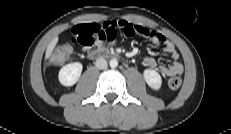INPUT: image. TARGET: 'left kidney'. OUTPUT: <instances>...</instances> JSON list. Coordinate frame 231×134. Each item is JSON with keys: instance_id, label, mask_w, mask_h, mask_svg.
Instances as JSON below:
<instances>
[{"instance_id": "obj_1", "label": "left kidney", "mask_w": 231, "mask_h": 134, "mask_svg": "<svg viewBox=\"0 0 231 134\" xmlns=\"http://www.w3.org/2000/svg\"><path fill=\"white\" fill-rule=\"evenodd\" d=\"M143 76L148 86L153 90H159L161 88L162 78L156 70L146 69L143 72Z\"/></svg>"}]
</instances>
